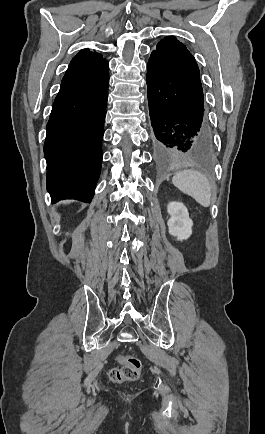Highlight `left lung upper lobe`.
<instances>
[{"label":"left lung upper lobe","mask_w":265,"mask_h":434,"mask_svg":"<svg viewBox=\"0 0 265 434\" xmlns=\"http://www.w3.org/2000/svg\"><path fill=\"white\" fill-rule=\"evenodd\" d=\"M152 54L158 55L166 61L197 93L203 96L198 65L183 43L173 36H168L158 43Z\"/></svg>","instance_id":"5c2ea615"}]
</instances>
